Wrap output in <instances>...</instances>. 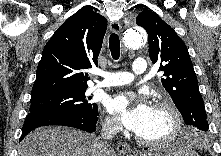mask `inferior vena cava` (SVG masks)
Returning a JSON list of instances; mask_svg holds the SVG:
<instances>
[{
	"mask_svg": "<svg viewBox=\"0 0 221 156\" xmlns=\"http://www.w3.org/2000/svg\"><path fill=\"white\" fill-rule=\"evenodd\" d=\"M118 131V126L115 122L111 120H107L103 124L102 128V137L104 140L111 139ZM99 147L101 148L103 153L108 152V145L104 142H99Z\"/></svg>",
	"mask_w": 221,
	"mask_h": 156,
	"instance_id": "1",
	"label": "inferior vena cava"
}]
</instances>
